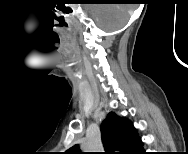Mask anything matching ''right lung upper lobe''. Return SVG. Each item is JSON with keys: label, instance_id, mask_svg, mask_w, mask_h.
<instances>
[{"label": "right lung upper lobe", "instance_id": "cb5924a9", "mask_svg": "<svg viewBox=\"0 0 188 154\" xmlns=\"http://www.w3.org/2000/svg\"><path fill=\"white\" fill-rule=\"evenodd\" d=\"M102 141L106 151L113 154H140L143 144L136 128L123 117L110 112L101 125ZM69 153L79 154L78 145L68 150Z\"/></svg>", "mask_w": 188, "mask_h": 154}]
</instances>
